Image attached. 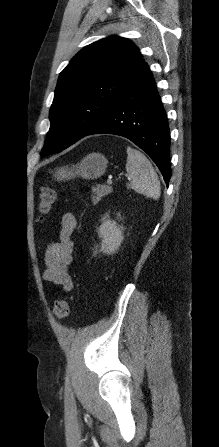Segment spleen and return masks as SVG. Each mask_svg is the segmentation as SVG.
I'll list each match as a JSON object with an SVG mask.
<instances>
[{
    "instance_id": "3e777b00",
    "label": "spleen",
    "mask_w": 219,
    "mask_h": 447,
    "mask_svg": "<svg viewBox=\"0 0 219 447\" xmlns=\"http://www.w3.org/2000/svg\"><path fill=\"white\" fill-rule=\"evenodd\" d=\"M126 171L129 175L128 188L158 200L160 197V182L154 168L147 157L138 150L127 148Z\"/></svg>"
}]
</instances>
